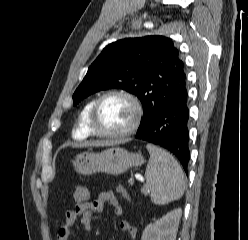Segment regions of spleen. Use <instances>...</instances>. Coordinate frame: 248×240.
<instances>
[{
	"mask_svg": "<svg viewBox=\"0 0 248 240\" xmlns=\"http://www.w3.org/2000/svg\"><path fill=\"white\" fill-rule=\"evenodd\" d=\"M150 159L145 171L146 183L154 204L165 205L182 197L185 190L184 173L176 159L152 144L146 146Z\"/></svg>",
	"mask_w": 248,
	"mask_h": 240,
	"instance_id": "1",
	"label": "spleen"
}]
</instances>
